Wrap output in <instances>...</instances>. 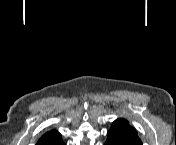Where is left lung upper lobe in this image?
Returning a JSON list of instances; mask_svg holds the SVG:
<instances>
[{"mask_svg": "<svg viewBox=\"0 0 176 145\" xmlns=\"http://www.w3.org/2000/svg\"><path fill=\"white\" fill-rule=\"evenodd\" d=\"M108 133L118 137L126 145H142L138 134L129 122L123 118H118L112 123Z\"/></svg>", "mask_w": 176, "mask_h": 145, "instance_id": "1", "label": "left lung upper lobe"}]
</instances>
